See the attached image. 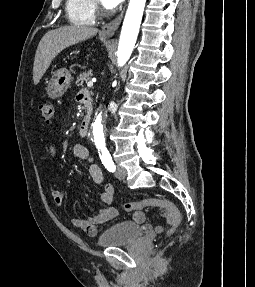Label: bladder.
Wrapping results in <instances>:
<instances>
[{"label": "bladder", "mask_w": 255, "mask_h": 287, "mask_svg": "<svg viewBox=\"0 0 255 287\" xmlns=\"http://www.w3.org/2000/svg\"><path fill=\"white\" fill-rule=\"evenodd\" d=\"M144 232V228L135 222H118L100 235L97 244L101 247L130 244L138 240Z\"/></svg>", "instance_id": "obj_1"}]
</instances>
